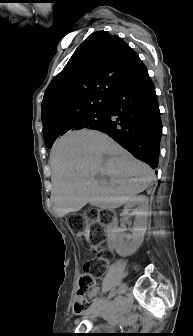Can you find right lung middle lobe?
<instances>
[{"instance_id":"right-lung-middle-lobe-1","label":"right lung middle lobe","mask_w":193,"mask_h":336,"mask_svg":"<svg viewBox=\"0 0 193 336\" xmlns=\"http://www.w3.org/2000/svg\"><path fill=\"white\" fill-rule=\"evenodd\" d=\"M107 118L108 112L106 108L92 111L79 117L73 124V130L84 128L99 130L106 124ZM56 139L57 138L45 139L46 147L51 148Z\"/></svg>"}]
</instances>
